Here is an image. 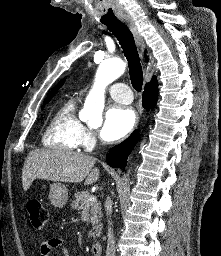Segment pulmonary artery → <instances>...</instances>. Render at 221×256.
Masks as SVG:
<instances>
[{"label":"pulmonary artery","instance_id":"obj_1","mask_svg":"<svg viewBox=\"0 0 221 256\" xmlns=\"http://www.w3.org/2000/svg\"><path fill=\"white\" fill-rule=\"evenodd\" d=\"M109 95L117 102L129 104L132 101V92L124 83H115L108 89Z\"/></svg>","mask_w":221,"mask_h":256}]
</instances>
